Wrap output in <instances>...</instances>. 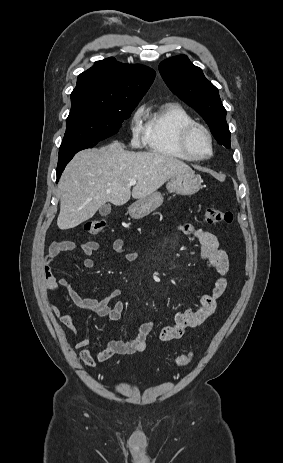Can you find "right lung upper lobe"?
<instances>
[{"instance_id":"cb5924a9","label":"right lung upper lobe","mask_w":283,"mask_h":463,"mask_svg":"<svg viewBox=\"0 0 283 463\" xmlns=\"http://www.w3.org/2000/svg\"><path fill=\"white\" fill-rule=\"evenodd\" d=\"M154 78L155 71L149 67L123 64L111 57L81 73L71 94L139 102Z\"/></svg>"}]
</instances>
